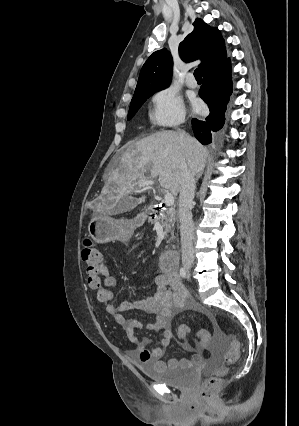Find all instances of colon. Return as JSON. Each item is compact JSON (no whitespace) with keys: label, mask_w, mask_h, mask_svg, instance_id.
<instances>
[{"label":"colon","mask_w":299,"mask_h":426,"mask_svg":"<svg viewBox=\"0 0 299 426\" xmlns=\"http://www.w3.org/2000/svg\"><path fill=\"white\" fill-rule=\"evenodd\" d=\"M82 260L86 265L89 287L96 293L97 299L100 302H104L107 296V291L101 281V276L98 273V268L103 260V254L100 248L89 239L84 242L82 248ZM189 332L190 329L186 324H181L177 328V335L181 340H186ZM216 332L218 335L221 334L220 329L217 326ZM198 339L200 345H206L210 340L209 332L207 330H200L198 333ZM228 339L230 342V349L228 350L225 359L228 364H232L238 358L239 348L234 336L230 335L228 336ZM226 374L227 367L221 366L204 380L199 392L200 398L203 401L208 402L213 399L219 389L223 377Z\"/></svg>","instance_id":"5ec220e1"}]
</instances>
